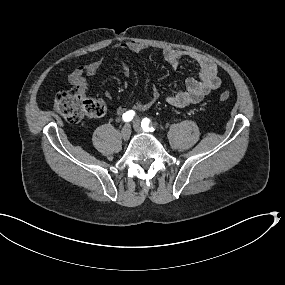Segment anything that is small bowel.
Wrapping results in <instances>:
<instances>
[{
	"label": "small bowel",
	"mask_w": 285,
	"mask_h": 285,
	"mask_svg": "<svg viewBox=\"0 0 285 285\" xmlns=\"http://www.w3.org/2000/svg\"><path fill=\"white\" fill-rule=\"evenodd\" d=\"M122 50H128L132 53L139 54L144 51L145 47L133 40H127L118 45ZM164 59L172 66L177 67L181 60L189 58L199 67V76L189 77L186 79L183 89L175 90L166 97V101L172 106L183 108L191 104L200 102L205 96L216 90L221 85L217 65L208 57L190 51L165 49L163 51ZM103 64V58H97L86 65L76 68L69 76V82L77 89L86 92L88 90L87 76L95 75ZM120 72L124 75L128 74L126 65H120ZM106 97H111L110 92L105 93ZM159 98V92L153 88L151 96L144 102H137L134 109L144 111L150 108ZM126 107L120 106L117 113L122 115L126 113Z\"/></svg>",
	"instance_id": "1"
}]
</instances>
